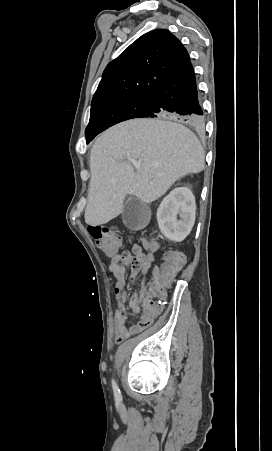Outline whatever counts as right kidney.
Segmentation results:
<instances>
[{"instance_id":"1","label":"right kidney","mask_w":272,"mask_h":451,"mask_svg":"<svg viewBox=\"0 0 272 451\" xmlns=\"http://www.w3.org/2000/svg\"><path fill=\"white\" fill-rule=\"evenodd\" d=\"M195 198L189 188L172 190L157 210V222L163 235L173 241H183L195 222ZM181 220H177V218Z\"/></svg>"}]
</instances>
